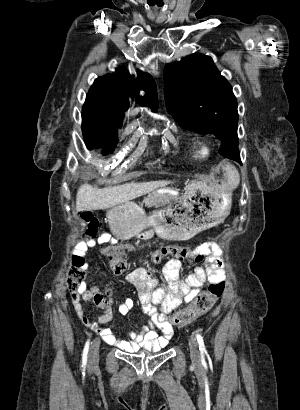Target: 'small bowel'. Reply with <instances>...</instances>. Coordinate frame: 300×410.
Returning <instances> with one entry per match:
<instances>
[{"instance_id":"obj_1","label":"small bowel","mask_w":300,"mask_h":410,"mask_svg":"<svg viewBox=\"0 0 300 410\" xmlns=\"http://www.w3.org/2000/svg\"><path fill=\"white\" fill-rule=\"evenodd\" d=\"M109 238L100 236L96 241L80 242L75 246L78 257L88 254L95 247ZM196 250L206 254L205 263L195 267L185 277L180 276L181 261L170 259L163 267L165 284L161 285L157 278L145 267H137L126 275V280L135 287L143 312L149 317V322L142 331H134L128 340L114 335L113 331L104 324L114 317V298L111 288L105 289L103 294L98 285L82 288L71 293V300L81 322L100 333L106 343L127 352L138 349L157 351L168 344L174 335V328L168 320L170 313L181 307L183 303L191 301L194 296L208 283L223 279L221 250L216 243H203ZM89 263H83L88 267ZM102 273H104L102 271ZM83 302H90L102 311L97 322H93L86 314ZM135 306L133 299H126L118 306L121 315L128 314Z\"/></svg>"}]
</instances>
